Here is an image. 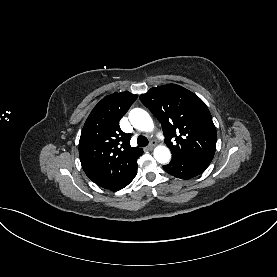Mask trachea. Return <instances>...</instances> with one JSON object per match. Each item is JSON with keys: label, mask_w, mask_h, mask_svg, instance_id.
Returning a JSON list of instances; mask_svg holds the SVG:
<instances>
[{"label": "trachea", "mask_w": 277, "mask_h": 277, "mask_svg": "<svg viewBox=\"0 0 277 277\" xmlns=\"http://www.w3.org/2000/svg\"><path fill=\"white\" fill-rule=\"evenodd\" d=\"M137 144L138 146L144 147L148 145V139L144 136H139L137 138Z\"/></svg>", "instance_id": "trachea-1"}]
</instances>
